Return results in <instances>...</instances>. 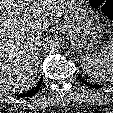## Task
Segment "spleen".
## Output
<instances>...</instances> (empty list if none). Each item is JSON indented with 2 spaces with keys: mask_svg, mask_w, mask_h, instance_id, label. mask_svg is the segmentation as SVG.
<instances>
[{
  "mask_svg": "<svg viewBox=\"0 0 113 113\" xmlns=\"http://www.w3.org/2000/svg\"><path fill=\"white\" fill-rule=\"evenodd\" d=\"M80 65L93 81H113V40L104 44L99 53L81 56Z\"/></svg>",
  "mask_w": 113,
  "mask_h": 113,
  "instance_id": "1",
  "label": "spleen"
}]
</instances>
